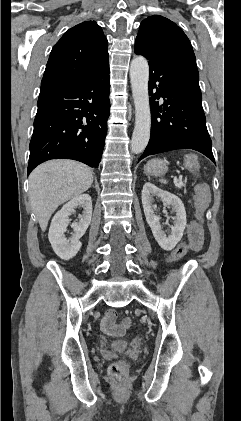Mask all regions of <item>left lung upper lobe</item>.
Wrapping results in <instances>:
<instances>
[{"instance_id":"left-lung-upper-lobe-1","label":"left lung upper lobe","mask_w":241,"mask_h":421,"mask_svg":"<svg viewBox=\"0 0 241 421\" xmlns=\"http://www.w3.org/2000/svg\"><path fill=\"white\" fill-rule=\"evenodd\" d=\"M135 42L158 55L185 59L196 64L191 43L185 33L163 16L153 15L144 19Z\"/></svg>"}]
</instances>
